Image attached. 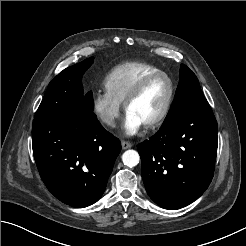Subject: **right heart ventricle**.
Returning a JSON list of instances; mask_svg holds the SVG:
<instances>
[{
    "label": "right heart ventricle",
    "mask_w": 246,
    "mask_h": 246,
    "mask_svg": "<svg viewBox=\"0 0 246 246\" xmlns=\"http://www.w3.org/2000/svg\"><path fill=\"white\" fill-rule=\"evenodd\" d=\"M157 71L161 70L146 62H125L110 70L104 79V86L115 100L124 103L128 94L144 76Z\"/></svg>",
    "instance_id": "obj_1"
}]
</instances>
